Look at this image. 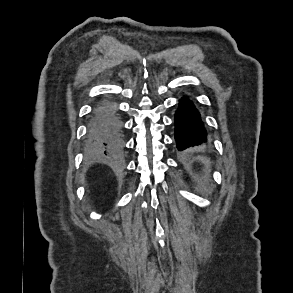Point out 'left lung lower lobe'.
<instances>
[{
    "mask_svg": "<svg viewBox=\"0 0 293 293\" xmlns=\"http://www.w3.org/2000/svg\"><path fill=\"white\" fill-rule=\"evenodd\" d=\"M175 140L180 151L207 142V132L200 114L193 103L185 97L180 99L176 113Z\"/></svg>",
    "mask_w": 293,
    "mask_h": 293,
    "instance_id": "left-lung-lower-lobe-1",
    "label": "left lung lower lobe"
}]
</instances>
